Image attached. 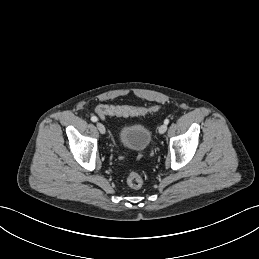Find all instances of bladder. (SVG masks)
Here are the masks:
<instances>
[{"label":"bladder","mask_w":259,"mask_h":259,"mask_svg":"<svg viewBox=\"0 0 259 259\" xmlns=\"http://www.w3.org/2000/svg\"><path fill=\"white\" fill-rule=\"evenodd\" d=\"M119 141L127 149L144 151L150 144L151 133L143 125H126L119 131Z\"/></svg>","instance_id":"obj_1"}]
</instances>
